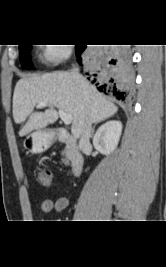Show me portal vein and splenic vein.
I'll return each mask as SVG.
<instances>
[{"label":"portal vein and splenic vein","mask_w":166,"mask_h":267,"mask_svg":"<svg viewBox=\"0 0 166 267\" xmlns=\"http://www.w3.org/2000/svg\"><path fill=\"white\" fill-rule=\"evenodd\" d=\"M47 105H48L47 102H39V103L37 104V107H38V108H42V107H45V106H47ZM58 113H59V116H60L61 120L64 122L65 125H69V124H71V122H72V120H73V117H72L71 114L66 113V112H64V111L61 110V109H59Z\"/></svg>","instance_id":"1"}]
</instances>
